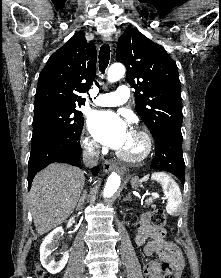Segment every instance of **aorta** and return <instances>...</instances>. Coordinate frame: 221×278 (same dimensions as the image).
I'll list each match as a JSON object with an SVG mask.
<instances>
[{"label":"aorta","instance_id":"1","mask_svg":"<svg viewBox=\"0 0 221 278\" xmlns=\"http://www.w3.org/2000/svg\"><path fill=\"white\" fill-rule=\"evenodd\" d=\"M125 74V67L121 63H114L110 66L108 70V81L114 83L120 80ZM121 178L120 176L113 172L107 179L104 188V197L110 198L117 191L120 186Z\"/></svg>","mask_w":221,"mask_h":278}]
</instances>
